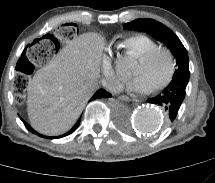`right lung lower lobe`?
Listing matches in <instances>:
<instances>
[{
  "label": "right lung lower lobe",
  "instance_id": "obj_1",
  "mask_svg": "<svg viewBox=\"0 0 215 183\" xmlns=\"http://www.w3.org/2000/svg\"><path fill=\"white\" fill-rule=\"evenodd\" d=\"M111 97V94L106 92L104 89H99L96 91V93L93 95V97L91 98V100L93 99H98V98H109ZM23 123L25 124V126L27 127V129L29 131H31L32 133H37L34 129H32L24 120H22ZM80 124V119L77 121V123L73 126V128L66 134L64 135H61L59 137H56V138H60V137H63V136H67L69 134H71L72 132H74L76 130V128L79 126ZM38 134V133H37ZM39 136H42L40 134H38ZM50 138H55V137H50Z\"/></svg>",
  "mask_w": 215,
  "mask_h": 183
}]
</instances>
